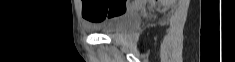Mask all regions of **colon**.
Instances as JSON below:
<instances>
[{
    "instance_id": "colon-1",
    "label": "colon",
    "mask_w": 235,
    "mask_h": 62,
    "mask_svg": "<svg viewBox=\"0 0 235 62\" xmlns=\"http://www.w3.org/2000/svg\"><path fill=\"white\" fill-rule=\"evenodd\" d=\"M127 0H86L83 2V16L96 24L124 12Z\"/></svg>"
}]
</instances>
